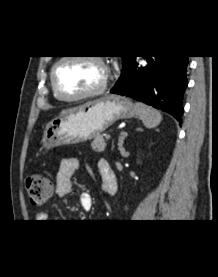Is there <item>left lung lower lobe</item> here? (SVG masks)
Returning a JSON list of instances; mask_svg holds the SVG:
<instances>
[{
  "label": "left lung lower lobe",
  "mask_w": 218,
  "mask_h": 277,
  "mask_svg": "<svg viewBox=\"0 0 218 277\" xmlns=\"http://www.w3.org/2000/svg\"><path fill=\"white\" fill-rule=\"evenodd\" d=\"M146 66H140L137 56L123 68L111 93L127 95L161 109L180 121L182 101L187 86L186 55L142 56Z\"/></svg>",
  "instance_id": "1"
}]
</instances>
